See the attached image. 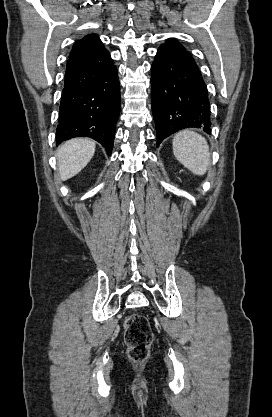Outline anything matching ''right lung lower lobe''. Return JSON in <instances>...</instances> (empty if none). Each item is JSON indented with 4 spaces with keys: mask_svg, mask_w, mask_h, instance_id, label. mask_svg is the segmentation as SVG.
<instances>
[{
    "mask_svg": "<svg viewBox=\"0 0 272 417\" xmlns=\"http://www.w3.org/2000/svg\"><path fill=\"white\" fill-rule=\"evenodd\" d=\"M120 102L117 69L102 43L82 55L69 57L57 143L74 137H91L111 155Z\"/></svg>",
    "mask_w": 272,
    "mask_h": 417,
    "instance_id": "right-lung-lower-lobe-1",
    "label": "right lung lower lobe"
}]
</instances>
